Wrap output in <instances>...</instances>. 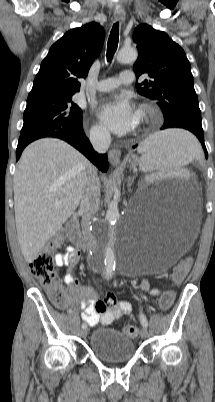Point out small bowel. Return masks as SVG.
Returning <instances> with one entry per match:
<instances>
[{
  "mask_svg": "<svg viewBox=\"0 0 215 402\" xmlns=\"http://www.w3.org/2000/svg\"><path fill=\"white\" fill-rule=\"evenodd\" d=\"M77 258L78 253L73 247L68 246L64 254L60 253L56 255V264L59 267H69L64 276L66 292L73 300L79 302L80 309L82 310V320L89 326H96L98 324L108 325L121 316L130 315L133 310V306L130 302L117 301L112 295L106 296L103 300H97L96 292L92 287L80 284L76 280L72 268ZM138 288L152 296L160 294V291L156 288H152L148 281H142L138 285Z\"/></svg>",
  "mask_w": 215,
  "mask_h": 402,
  "instance_id": "obj_1",
  "label": "small bowel"
}]
</instances>
